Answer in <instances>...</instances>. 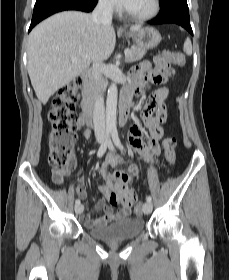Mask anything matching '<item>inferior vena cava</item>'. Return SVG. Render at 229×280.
I'll return each instance as SVG.
<instances>
[{"label":"inferior vena cava","instance_id":"602c4592","mask_svg":"<svg viewBox=\"0 0 229 280\" xmlns=\"http://www.w3.org/2000/svg\"><path fill=\"white\" fill-rule=\"evenodd\" d=\"M113 14V3L111 0H99L92 12V20L95 24H111ZM102 62H94L92 66V76L96 84V96L93 112L94 132L96 136L103 137L106 133L104 99L100 92L102 80Z\"/></svg>","mask_w":229,"mask_h":280}]
</instances>
